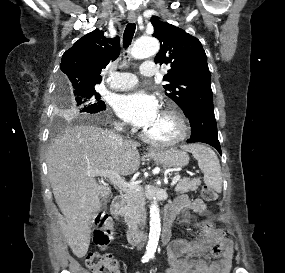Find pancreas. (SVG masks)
Listing matches in <instances>:
<instances>
[{"label":"pancreas","instance_id":"1","mask_svg":"<svg viewBox=\"0 0 285 273\" xmlns=\"http://www.w3.org/2000/svg\"><path fill=\"white\" fill-rule=\"evenodd\" d=\"M201 185L200 179L190 180L188 178H184L179 180L177 183L175 190L176 192L186 193L189 191H195L198 189V186ZM127 199H128V213L130 217L137 218L139 216V208L144 204L145 197L144 192L141 187H138L133 190L126 191Z\"/></svg>","mask_w":285,"mask_h":273}]
</instances>
